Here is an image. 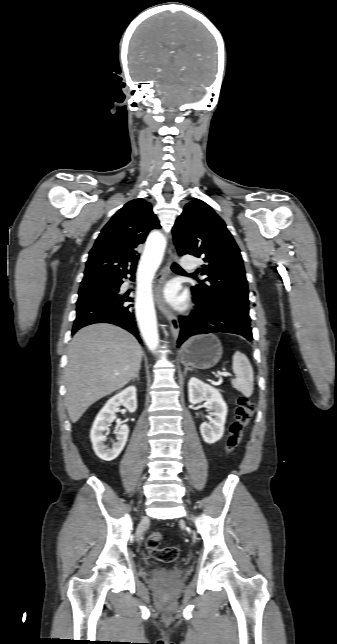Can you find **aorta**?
Wrapping results in <instances>:
<instances>
[{"label": "aorta", "instance_id": "1", "mask_svg": "<svg viewBox=\"0 0 337 644\" xmlns=\"http://www.w3.org/2000/svg\"><path fill=\"white\" fill-rule=\"evenodd\" d=\"M165 240L143 253L137 270L136 316L147 347L154 353L159 345L157 320L152 297V279L162 260Z\"/></svg>", "mask_w": 337, "mask_h": 644}]
</instances>
